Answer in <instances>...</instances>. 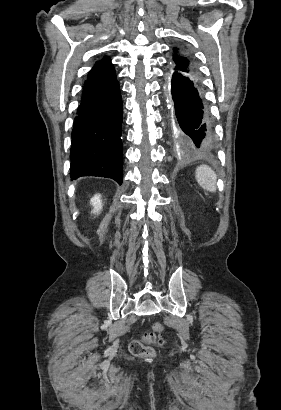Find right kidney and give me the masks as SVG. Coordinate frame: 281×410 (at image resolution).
Instances as JSON below:
<instances>
[{
  "label": "right kidney",
  "instance_id": "obj_1",
  "mask_svg": "<svg viewBox=\"0 0 281 410\" xmlns=\"http://www.w3.org/2000/svg\"><path fill=\"white\" fill-rule=\"evenodd\" d=\"M90 203L94 207L93 213H98L102 209V200L99 194L94 195Z\"/></svg>",
  "mask_w": 281,
  "mask_h": 410
}]
</instances>
